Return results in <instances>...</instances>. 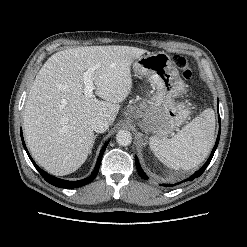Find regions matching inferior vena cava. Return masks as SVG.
<instances>
[{
    "label": "inferior vena cava",
    "instance_id": "1",
    "mask_svg": "<svg viewBox=\"0 0 247 247\" xmlns=\"http://www.w3.org/2000/svg\"><path fill=\"white\" fill-rule=\"evenodd\" d=\"M92 129L97 133L105 132L109 127V122L103 117H95L91 123Z\"/></svg>",
    "mask_w": 247,
    "mask_h": 247
}]
</instances>
